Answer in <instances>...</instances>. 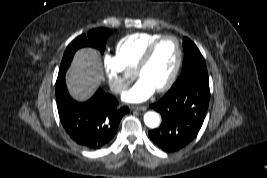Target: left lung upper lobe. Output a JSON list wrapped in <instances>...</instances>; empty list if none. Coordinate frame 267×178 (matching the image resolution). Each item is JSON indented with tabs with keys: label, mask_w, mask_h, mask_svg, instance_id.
<instances>
[{
	"label": "left lung upper lobe",
	"mask_w": 267,
	"mask_h": 178,
	"mask_svg": "<svg viewBox=\"0 0 267 178\" xmlns=\"http://www.w3.org/2000/svg\"><path fill=\"white\" fill-rule=\"evenodd\" d=\"M184 60L182 72L173 86L189 80L208 82V73L203 56L197 46L187 37L183 38Z\"/></svg>",
	"instance_id": "obj_1"
}]
</instances>
